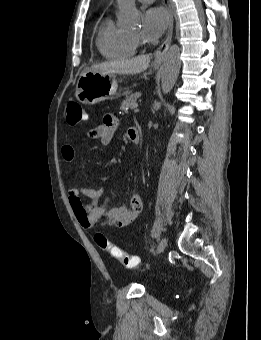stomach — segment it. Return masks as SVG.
I'll use <instances>...</instances> for the list:
<instances>
[{
	"instance_id": "obj_1",
	"label": "stomach",
	"mask_w": 261,
	"mask_h": 340,
	"mask_svg": "<svg viewBox=\"0 0 261 340\" xmlns=\"http://www.w3.org/2000/svg\"><path fill=\"white\" fill-rule=\"evenodd\" d=\"M159 65L160 62L153 63L154 68ZM117 88L118 83L114 74L87 70L78 79L75 96L79 102L93 105L112 98Z\"/></svg>"
}]
</instances>
